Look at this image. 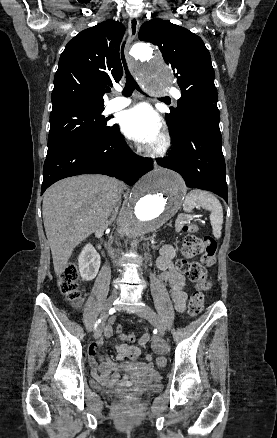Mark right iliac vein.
Here are the masks:
<instances>
[{
  "instance_id": "63e3f726",
  "label": "right iliac vein",
  "mask_w": 277,
  "mask_h": 438,
  "mask_svg": "<svg viewBox=\"0 0 277 438\" xmlns=\"http://www.w3.org/2000/svg\"><path fill=\"white\" fill-rule=\"evenodd\" d=\"M115 300V297L112 296L108 299V301L106 302V304L103 307L102 313H101V319L102 321L99 323L97 329L95 330L94 333V338L95 339H99L101 337L102 331H103V326H104V321L109 313V311L111 310L112 306H113V302Z\"/></svg>"
}]
</instances>
